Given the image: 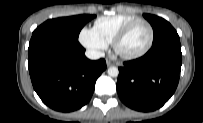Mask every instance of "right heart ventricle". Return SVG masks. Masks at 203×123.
<instances>
[{
    "instance_id": "right-heart-ventricle-1",
    "label": "right heart ventricle",
    "mask_w": 203,
    "mask_h": 123,
    "mask_svg": "<svg viewBox=\"0 0 203 123\" xmlns=\"http://www.w3.org/2000/svg\"><path fill=\"white\" fill-rule=\"evenodd\" d=\"M140 19L129 14H117L103 16L94 22L93 30L108 45L113 42L115 36L129 23Z\"/></svg>"
}]
</instances>
